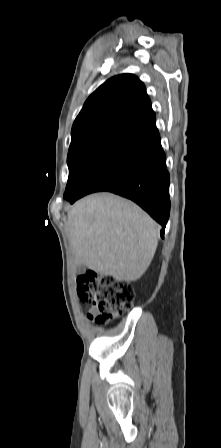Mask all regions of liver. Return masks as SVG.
<instances>
[{
    "instance_id": "6515ba94",
    "label": "liver",
    "mask_w": 221,
    "mask_h": 448,
    "mask_svg": "<svg viewBox=\"0 0 221 448\" xmlns=\"http://www.w3.org/2000/svg\"><path fill=\"white\" fill-rule=\"evenodd\" d=\"M66 228L76 265L128 283L145 273L158 245L157 223L135 203L111 193L78 201Z\"/></svg>"
}]
</instances>
